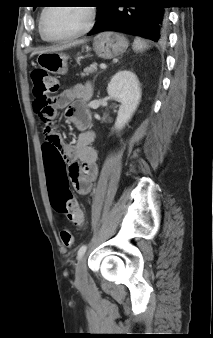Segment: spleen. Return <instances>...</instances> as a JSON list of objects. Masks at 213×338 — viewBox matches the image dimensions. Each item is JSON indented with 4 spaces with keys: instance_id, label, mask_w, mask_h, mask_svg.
Here are the masks:
<instances>
[{
    "instance_id": "1",
    "label": "spleen",
    "mask_w": 213,
    "mask_h": 338,
    "mask_svg": "<svg viewBox=\"0 0 213 338\" xmlns=\"http://www.w3.org/2000/svg\"><path fill=\"white\" fill-rule=\"evenodd\" d=\"M149 48L148 42L144 39L136 37L133 42V50L135 52H143Z\"/></svg>"
}]
</instances>
